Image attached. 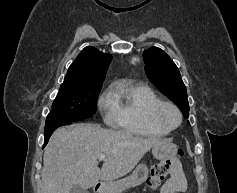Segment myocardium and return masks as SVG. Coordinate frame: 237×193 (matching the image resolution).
Here are the masks:
<instances>
[{"mask_svg":"<svg viewBox=\"0 0 237 193\" xmlns=\"http://www.w3.org/2000/svg\"><path fill=\"white\" fill-rule=\"evenodd\" d=\"M166 109L172 110L176 117V123L173 125L168 124L164 118L163 113ZM150 119L158 127L170 132L178 128L182 122V114L179 108L170 101H159L150 110Z\"/></svg>","mask_w":237,"mask_h":193,"instance_id":"f54148a6","label":"myocardium"}]
</instances>
